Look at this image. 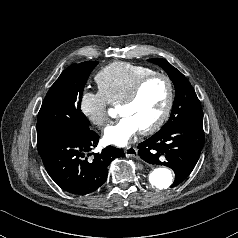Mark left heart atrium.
Segmentation results:
<instances>
[{
  "label": "left heart atrium",
  "instance_id": "39dd6f15",
  "mask_svg": "<svg viewBox=\"0 0 238 238\" xmlns=\"http://www.w3.org/2000/svg\"><path fill=\"white\" fill-rule=\"evenodd\" d=\"M139 131V126L132 118L122 116L117 123L105 129L104 139L110 144L125 146L137 135Z\"/></svg>",
  "mask_w": 238,
  "mask_h": 238
}]
</instances>
